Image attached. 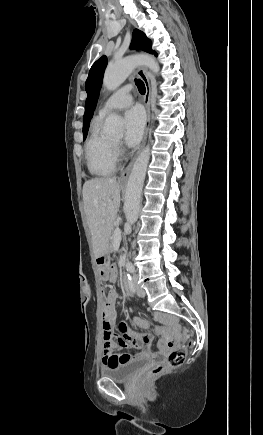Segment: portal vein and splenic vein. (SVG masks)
I'll list each match as a JSON object with an SVG mask.
<instances>
[{
  "instance_id": "18ae733b",
  "label": "portal vein and splenic vein",
  "mask_w": 263,
  "mask_h": 435,
  "mask_svg": "<svg viewBox=\"0 0 263 435\" xmlns=\"http://www.w3.org/2000/svg\"><path fill=\"white\" fill-rule=\"evenodd\" d=\"M113 236L114 240H121V230L118 227L115 228Z\"/></svg>"
}]
</instances>
